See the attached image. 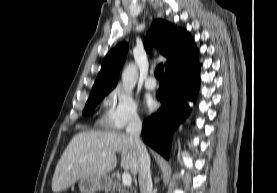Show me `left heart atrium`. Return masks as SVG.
I'll return each instance as SVG.
<instances>
[{"label": "left heart atrium", "instance_id": "39dd6f15", "mask_svg": "<svg viewBox=\"0 0 277 193\" xmlns=\"http://www.w3.org/2000/svg\"><path fill=\"white\" fill-rule=\"evenodd\" d=\"M145 105L149 111H152L156 107V102L153 100L152 97L148 96L145 99Z\"/></svg>", "mask_w": 277, "mask_h": 193}]
</instances>
